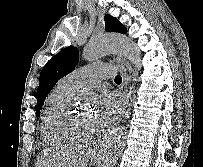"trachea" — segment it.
<instances>
[{"mask_svg":"<svg viewBox=\"0 0 203 167\" xmlns=\"http://www.w3.org/2000/svg\"><path fill=\"white\" fill-rule=\"evenodd\" d=\"M114 81H115L116 83H121V82H122L121 76L117 75V76L115 77Z\"/></svg>","mask_w":203,"mask_h":167,"instance_id":"1","label":"trachea"}]
</instances>
